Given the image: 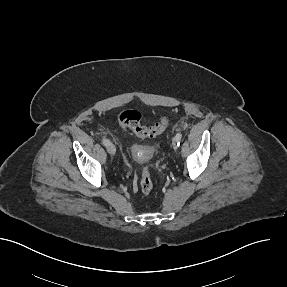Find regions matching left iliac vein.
I'll list each match as a JSON object with an SVG mask.
<instances>
[{
    "mask_svg": "<svg viewBox=\"0 0 287 287\" xmlns=\"http://www.w3.org/2000/svg\"><path fill=\"white\" fill-rule=\"evenodd\" d=\"M177 144H178L177 143V139H176V137H174L173 140H172V146H173L174 149L177 148Z\"/></svg>",
    "mask_w": 287,
    "mask_h": 287,
    "instance_id": "obj_1",
    "label": "left iliac vein"
}]
</instances>
